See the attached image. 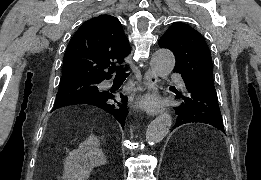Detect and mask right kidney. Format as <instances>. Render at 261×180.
I'll list each match as a JSON object with an SVG mask.
<instances>
[{
    "label": "right kidney",
    "instance_id": "right-kidney-1",
    "mask_svg": "<svg viewBox=\"0 0 261 180\" xmlns=\"http://www.w3.org/2000/svg\"><path fill=\"white\" fill-rule=\"evenodd\" d=\"M83 164V166H81ZM106 158L100 150V140L89 136L78 150L69 152L64 164V180H87L94 166H104Z\"/></svg>",
    "mask_w": 261,
    "mask_h": 180
}]
</instances>
